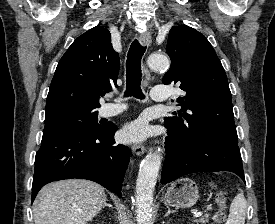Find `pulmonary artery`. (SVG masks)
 <instances>
[{
  "mask_svg": "<svg viewBox=\"0 0 275 224\" xmlns=\"http://www.w3.org/2000/svg\"><path fill=\"white\" fill-rule=\"evenodd\" d=\"M170 91L168 87H154L151 91V97L154 101H166L169 99ZM125 109L123 104L109 103L104 108L105 116H115Z\"/></svg>",
  "mask_w": 275,
  "mask_h": 224,
  "instance_id": "pulmonary-artery-1",
  "label": "pulmonary artery"
}]
</instances>
